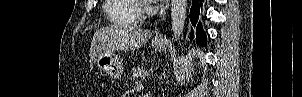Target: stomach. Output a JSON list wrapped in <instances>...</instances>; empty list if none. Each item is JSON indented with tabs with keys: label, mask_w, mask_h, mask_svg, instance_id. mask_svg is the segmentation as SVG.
Masks as SVG:
<instances>
[{
	"label": "stomach",
	"mask_w": 302,
	"mask_h": 97,
	"mask_svg": "<svg viewBox=\"0 0 302 97\" xmlns=\"http://www.w3.org/2000/svg\"><path fill=\"white\" fill-rule=\"evenodd\" d=\"M152 46L157 51L165 50V43L163 42H152ZM96 66L100 71L105 72L113 79H119L123 73V63L120 58L111 51H107L95 60Z\"/></svg>",
	"instance_id": "0dacf381"
}]
</instances>
